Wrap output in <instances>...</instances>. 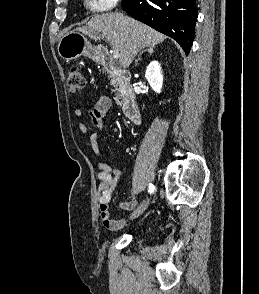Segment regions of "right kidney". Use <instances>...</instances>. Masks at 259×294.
<instances>
[{"label":"right kidney","instance_id":"obj_1","mask_svg":"<svg viewBox=\"0 0 259 294\" xmlns=\"http://www.w3.org/2000/svg\"><path fill=\"white\" fill-rule=\"evenodd\" d=\"M145 78L156 93L161 92L163 75L158 61H152L145 72Z\"/></svg>","mask_w":259,"mask_h":294}]
</instances>
